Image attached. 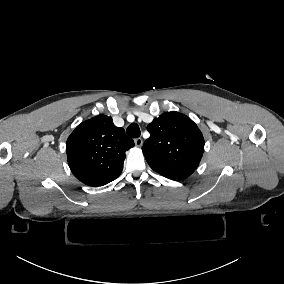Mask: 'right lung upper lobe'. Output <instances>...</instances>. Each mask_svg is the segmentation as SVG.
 I'll return each mask as SVG.
<instances>
[{
	"label": "right lung upper lobe",
	"mask_w": 284,
	"mask_h": 284,
	"mask_svg": "<svg viewBox=\"0 0 284 284\" xmlns=\"http://www.w3.org/2000/svg\"><path fill=\"white\" fill-rule=\"evenodd\" d=\"M134 141L116 127L112 118L100 114L82 122L67 139L66 153L73 175L82 183L98 187L122 172L125 152Z\"/></svg>",
	"instance_id": "1"
}]
</instances>
